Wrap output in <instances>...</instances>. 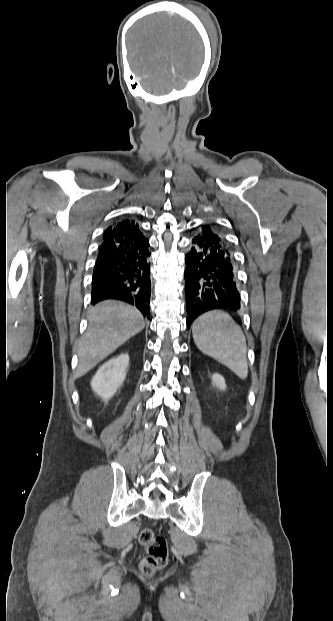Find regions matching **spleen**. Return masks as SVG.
<instances>
[{
    "instance_id": "1",
    "label": "spleen",
    "mask_w": 333,
    "mask_h": 621,
    "mask_svg": "<svg viewBox=\"0 0 333 621\" xmlns=\"http://www.w3.org/2000/svg\"><path fill=\"white\" fill-rule=\"evenodd\" d=\"M192 334L203 354L227 366L239 378H247L246 338L229 314L218 310L202 314L193 323Z\"/></svg>"
}]
</instances>
